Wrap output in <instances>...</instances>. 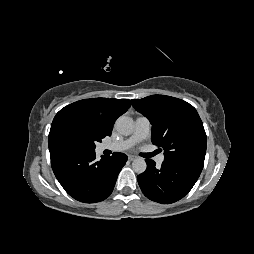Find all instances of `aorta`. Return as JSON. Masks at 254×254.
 <instances>
[{"label": "aorta", "instance_id": "762f6f07", "mask_svg": "<svg viewBox=\"0 0 254 254\" xmlns=\"http://www.w3.org/2000/svg\"><path fill=\"white\" fill-rule=\"evenodd\" d=\"M115 127L119 133L129 135L134 130V121L132 118L122 115L116 120ZM132 168L138 174L145 172L147 164L144 158L134 159L132 162Z\"/></svg>", "mask_w": 254, "mask_h": 254}]
</instances>
